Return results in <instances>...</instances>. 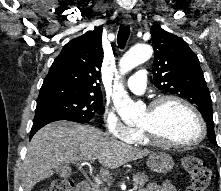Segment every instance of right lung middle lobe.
<instances>
[{
  "instance_id": "right-lung-middle-lobe-1",
  "label": "right lung middle lobe",
  "mask_w": 221,
  "mask_h": 191,
  "mask_svg": "<svg viewBox=\"0 0 221 191\" xmlns=\"http://www.w3.org/2000/svg\"><path fill=\"white\" fill-rule=\"evenodd\" d=\"M102 105V97L86 96L37 101V107L49 108L65 120L78 123H88Z\"/></svg>"
}]
</instances>
